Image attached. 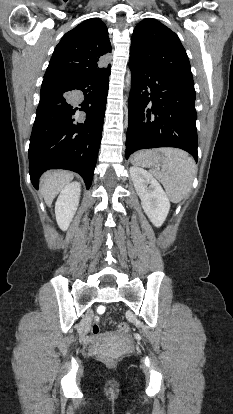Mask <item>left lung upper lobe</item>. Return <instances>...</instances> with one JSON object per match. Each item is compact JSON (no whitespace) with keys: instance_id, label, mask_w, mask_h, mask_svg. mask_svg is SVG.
I'll use <instances>...</instances> for the list:
<instances>
[{"instance_id":"1","label":"left lung upper lobe","mask_w":233,"mask_h":414,"mask_svg":"<svg viewBox=\"0 0 233 414\" xmlns=\"http://www.w3.org/2000/svg\"><path fill=\"white\" fill-rule=\"evenodd\" d=\"M129 60L161 75L193 79L178 36L156 19H144L135 27Z\"/></svg>"}]
</instances>
